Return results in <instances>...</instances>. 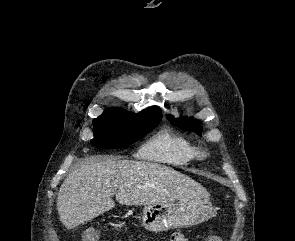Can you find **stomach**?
<instances>
[{"label":"stomach","mask_w":295,"mask_h":241,"mask_svg":"<svg viewBox=\"0 0 295 241\" xmlns=\"http://www.w3.org/2000/svg\"><path fill=\"white\" fill-rule=\"evenodd\" d=\"M215 208L209 197H194L177 203L145 205L142 210V224L151 232H161L198 225L210 219Z\"/></svg>","instance_id":"0dacf381"}]
</instances>
